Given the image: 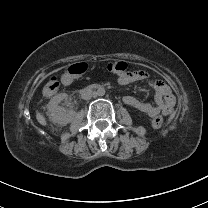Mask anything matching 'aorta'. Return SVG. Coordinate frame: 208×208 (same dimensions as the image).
<instances>
[{
    "label": "aorta",
    "mask_w": 208,
    "mask_h": 208,
    "mask_svg": "<svg viewBox=\"0 0 208 208\" xmlns=\"http://www.w3.org/2000/svg\"><path fill=\"white\" fill-rule=\"evenodd\" d=\"M96 94L98 96H104L105 95V89L104 88H99L97 91H96Z\"/></svg>",
    "instance_id": "aorta-1"
}]
</instances>
